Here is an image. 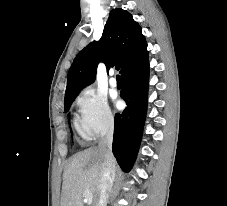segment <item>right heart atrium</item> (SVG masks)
I'll use <instances>...</instances> for the list:
<instances>
[{"label":"right heart atrium","instance_id":"obj_1","mask_svg":"<svg viewBox=\"0 0 227 206\" xmlns=\"http://www.w3.org/2000/svg\"><path fill=\"white\" fill-rule=\"evenodd\" d=\"M81 126L92 138L110 131L114 125V115L104 95L93 88L84 89L77 97Z\"/></svg>","mask_w":227,"mask_h":206}]
</instances>
